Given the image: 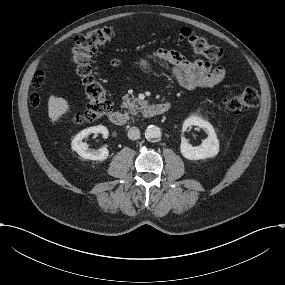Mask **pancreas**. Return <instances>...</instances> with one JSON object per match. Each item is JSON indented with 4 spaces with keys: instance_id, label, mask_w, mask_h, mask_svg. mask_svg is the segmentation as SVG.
I'll list each match as a JSON object with an SVG mask.
<instances>
[{
    "instance_id": "1",
    "label": "pancreas",
    "mask_w": 285,
    "mask_h": 285,
    "mask_svg": "<svg viewBox=\"0 0 285 285\" xmlns=\"http://www.w3.org/2000/svg\"><path fill=\"white\" fill-rule=\"evenodd\" d=\"M147 101L140 100L138 98L129 97L127 94L122 97V105L124 108H128L129 113L134 116H138L140 109L147 106Z\"/></svg>"
}]
</instances>
